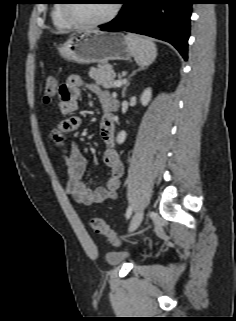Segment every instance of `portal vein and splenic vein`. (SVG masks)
<instances>
[{"label":"portal vein and splenic vein","mask_w":236,"mask_h":321,"mask_svg":"<svg viewBox=\"0 0 236 321\" xmlns=\"http://www.w3.org/2000/svg\"><path fill=\"white\" fill-rule=\"evenodd\" d=\"M123 83H125V80H117L115 81V86L120 87Z\"/></svg>","instance_id":"18ae733b"}]
</instances>
